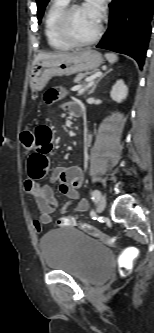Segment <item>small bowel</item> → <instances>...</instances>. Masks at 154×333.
<instances>
[{
    "instance_id": "obj_1",
    "label": "small bowel",
    "mask_w": 154,
    "mask_h": 333,
    "mask_svg": "<svg viewBox=\"0 0 154 333\" xmlns=\"http://www.w3.org/2000/svg\"><path fill=\"white\" fill-rule=\"evenodd\" d=\"M59 94L58 90L51 89L46 93L45 99L48 103H52ZM64 108L74 116V112L81 109V106L75 102H67ZM33 136L34 145L27 163L29 179L25 182V190L34 198L40 212L39 220L34 222L35 228L39 231L41 224L47 225L53 222V213L57 207L51 186L40 183V180L49 173V153L54 147V134L48 125L40 124L33 128ZM50 178L51 181L58 182L61 193L69 198V202L62 209L63 213H66L73 204L75 212H84L88 209L87 200L80 198L77 192L82 184V171L79 167H57L52 171Z\"/></svg>"
}]
</instances>
